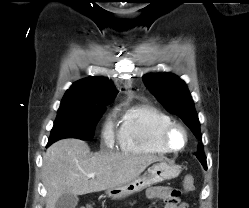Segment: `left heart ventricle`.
I'll return each mask as SVG.
<instances>
[{
	"mask_svg": "<svg viewBox=\"0 0 249 208\" xmlns=\"http://www.w3.org/2000/svg\"><path fill=\"white\" fill-rule=\"evenodd\" d=\"M170 143L174 147H181L184 143V135L180 130H175L170 135Z\"/></svg>",
	"mask_w": 249,
	"mask_h": 208,
	"instance_id": "b2bd125f",
	"label": "left heart ventricle"
}]
</instances>
